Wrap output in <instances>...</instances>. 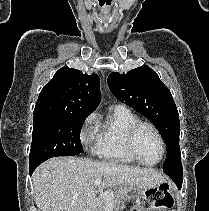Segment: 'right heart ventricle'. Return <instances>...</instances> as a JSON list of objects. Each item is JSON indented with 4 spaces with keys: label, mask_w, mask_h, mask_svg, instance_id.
<instances>
[{
    "label": "right heart ventricle",
    "mask_w": 209,
    "mask_h": 211,
    "mask_svg": "<svg viewBox=\"0 0 209 211\" xmlns=\"http://www.w3.org/2000/svg\"><path fill=\"white\" fill-rule=\"evenodd\" d=\"M138 118L128 109H112L107 118L97 125V138L93 153L100 159L122 165H133L135 160L128 154L125 137L128 129Z\"/></svg>",
    "instance_id": "obj_1"
}]
</instances>
